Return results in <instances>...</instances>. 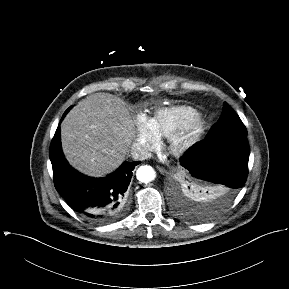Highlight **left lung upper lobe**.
I'll use <instances>...</instances> for the list:
<instances>
[{
    "instance_id": "5c2ea615",
    "label": "left lung upper lobe",
    "mask_w": 289,
    "mask_h": 289,
    "mask_svg": "<svg viewBox=\"0 0 289 289\" xmlns=\"http://www.w3.org/2000/svg\"><path fill=\"white\" fill-rule=\"evenodd\" d=\"M246 136L247 130L242 123L239 116L234 112V110L225 102L223 105V112L218 122L210 129L206 138L214 139L223 136ZM196 193H202L200 187H192ZM200 190V191H199ZM179 213H182L186 217L192 218L194 220L203 221L214 215V210L211 206L207 205L205 202L193 203H180L178 207Z\"/></svg>"
}]
</instances>
